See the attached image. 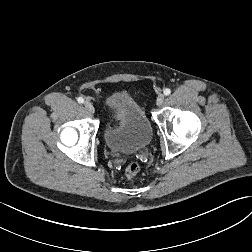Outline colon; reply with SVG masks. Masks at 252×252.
I'll return each mask as SVG.
<instances>
[{
  "label": "colon",
  "instance_id": "colon-1",
  "mask_svg": "<svg viewBox=\"0 0 252 252\" xmlns=\"http://www.w3.org/2000/svg\"><path fill=\"white\" fill-rule=\"evenodd\" d=\"M140 170V165L137 162H131L125 169V175L127 178H133Z\"/></svg>",
  "mask_w": 252,
  "mask_h": 252
}]
</instances>
